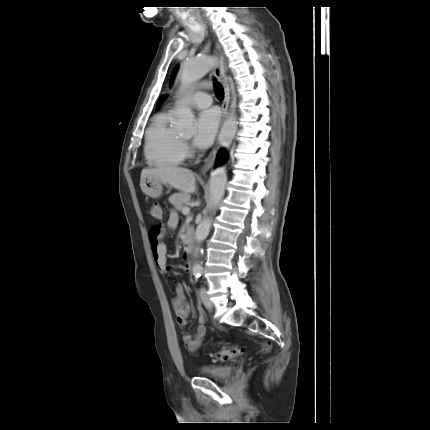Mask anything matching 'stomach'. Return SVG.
<instances>
[{"instance_id":"stomach-1","label":"stomach","mask_w":430,"mask_h":430,"mask_svg":"<svg viewBox=\"0 0 430 430\" xmlns=\"http://www.w3.org/2000/svg\"><path fill=\"white\" fill-rule=\"evenodd\" d=\"M162 184L163 182L157 178L146 177L141 180L140 187L145 195L151 198H158L162 194Z\"/></svg>"}]
</instances>
